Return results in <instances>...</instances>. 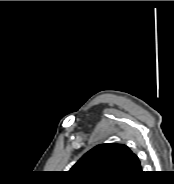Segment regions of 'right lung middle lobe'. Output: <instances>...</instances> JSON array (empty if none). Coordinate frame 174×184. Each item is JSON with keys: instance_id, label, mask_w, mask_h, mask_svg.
<instances>
[{"instance_id": "1", "label": "right lung middle lobe", "mask_w": 174, "mask_h": 184, "mask_svg": "<svg viewBox=\"0 0 174 184\" xmlns=\"http://www.w3.org/2000/svg\"><path fill=\"white\" fill-rule=\"evenodd\" d=\"M92 183H107V182H92Z\"/></svg>"}]
</instances>
